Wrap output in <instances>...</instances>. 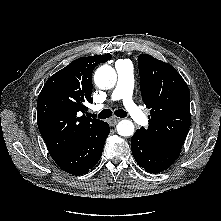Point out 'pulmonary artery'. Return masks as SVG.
<instances>
[{"instance_id": "pulmonary-artery-1", "label": "pulmonary artery", "mask_w": 221, "mask_h": 221, "mask_svg": "<svg viewBox=\"0 0 221 221\" xmlns=\"http://www.w3.org/2000/svg\"><path fill=\"white\" fill-rule=\"evenodd\" d=\"M118 75L117 85L112 93L113 100H121L130 117L140 125L148 124L147 115L136 105L133 100V67L128 61H120L116 64ZM104 104H97L95 108L100 110Z\"/></svg>"}]
</instances>
